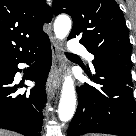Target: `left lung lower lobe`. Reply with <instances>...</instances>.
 <instances>
[{
    "label": "left lung lower lobe",
    "instance_id": "obj_1",
    "mask_svg": "<svg viewBox=\"0 0 136 136\" xmlns=\"http://www.w3.org/2000/svg\"><path fill=\"white\" fill-rule=\"evenodd\" d=\"M94 68V77L89 76L100 87L85 84L78 88L79 104L67 136L86 133L136 136L130 69L97 64Z\"/></svg>",
    "mask_w": 136,
    "mask_h": 136
}]
</instances>
